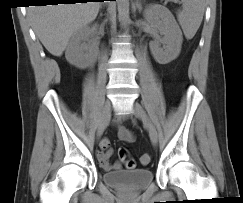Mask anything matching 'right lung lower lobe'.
Wrapping results in <instances>:
<instances>
[{"label":"right lung lower lobe","instance_id":"obj_1","mask_svg":"<svg viewBox=\"0 0 243 203\" xmlns=\"http://www.w3.org/2000/svg\"><path fill=\"white\" fill-rule=\"evenodd\" d=\"M61 1L62 2H60V3H75L74 1H77V0H61ZM80 1H85V0H80ZM97 1L99 2V1H104V0H97ZM114 1H116V0H114ZM38 5H40V4H38Z\"/></svg>","mask_w":243,"mask_h":203}]
</instances>
